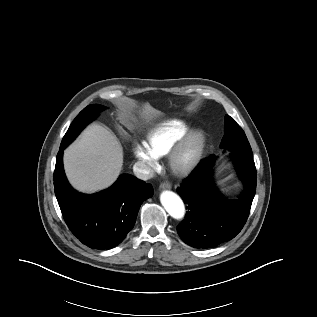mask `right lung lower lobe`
Wrapping results in <instances>:
<instances>
[{
    "label": "right lung lower lobe",
    "instance_id": "obj_1",
    "mask_svg": "<svg viewBox=\"0 0 317 317\" xmlns=\"http://www.w3.org/2000/svg\"><path fill=\"white\" fill-rule=\"evenodd\" d=\"M61 144L54 172L55 195L63 218L72 233L92 249L119 245L132 230L142 202L153 188L136 177L124 174L108 189L95 194L74 190L64 173Z\"/></svg>",
    "mask_w": 317,
    "mask_h": 317
}]
</instances>
